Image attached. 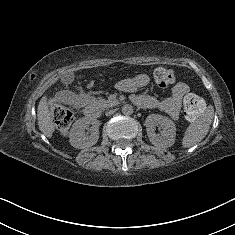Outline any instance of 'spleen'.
Returning a JSON list of instances; mask_svg holds the SVG:
<instances>
[{
	"label": "spleen",
	"instance_id": "obj_1",
	"mask_svg": "<svg viewBox=\"0 0 235 235\" xmlns=\"http://www.w3.org/2000/svg\"><path fill=\"white\" fill-rule=\"evenodd\" d=\"M207 128H208L207 124H204V125H203V131H206ZM186 139H187V140H186V142H187L186 145H187V146L191 145V144L195 141V140L192 141V140H190L189 138H186Z\"/></svg>",
	"mask_w": 235,
	"mask_h": 235
}]
</instances>
